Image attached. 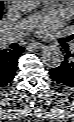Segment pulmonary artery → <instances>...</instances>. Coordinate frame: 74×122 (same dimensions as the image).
Returning <instances> with one entry per match:
<instances>
[{"instance_id": "pulmonary-artery-1", "label": "pulmonary artery", "mask_w": 74, "mask_h": 122, "mask_svg": "<svg viewBox=\"0 0 74 122\" xmlns=\"http://www.w3.org/2000/svg\"><path fill=\"white\" fill-rule=\"evenodd\" d=\"M35 20V17H30L27 21L21 22L15 25L12 29L3 32L2 40L5 43H12L17 41L29 29V27Z\"/></svg>"}]
</instances>
